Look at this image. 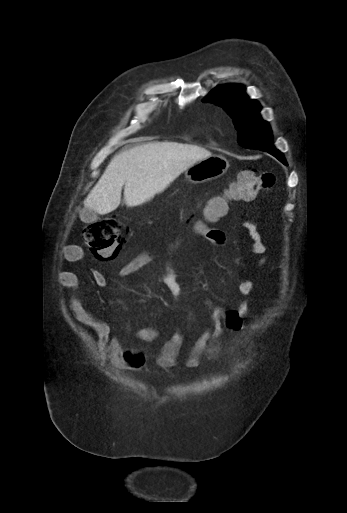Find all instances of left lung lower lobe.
I'll return each mask as SVG.
<instances>
[{"instance_id":"obj_1","label":"left lung lower lobe","mask_w":347,"mask_h":513,"mask_svg":"<svg viewBox=\"0 0 347 513\" xmlns=\"http://www.w3.org/2000/svg\"><path fill=\"white\" fill-rule=\"evenodd\" d=\"M270 154H272L273 156H275L278 160H280L283 164L287 165V162L285 161L282 153L278 150H274V151H271V152H268Z\"/></svg>"}]
</instances>
